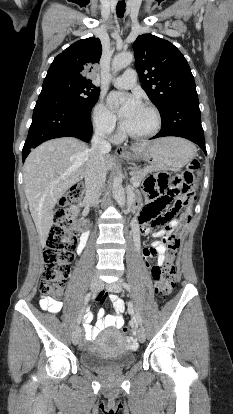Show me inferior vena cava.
Listing matches in <instances>:
<instances>
[{
    "label": "inferior vena cava",
    "mask_w": 233,
    "mask_h": 414,
    "mask_svg": "<svg viewBox=\"0 0 233 414\" xmlns=\"http://www.w3.org/2000/svg\"><path fill=\"white\" fill-rule=\"evenodd\" d=\"M91 143L85 170L84 200L96 205L106 180L105 156L110 152L111 144L106 140L105 132L102 129H96Z\"/></svg>",
    "instance_id": "obj_1"
}]
</instances>
